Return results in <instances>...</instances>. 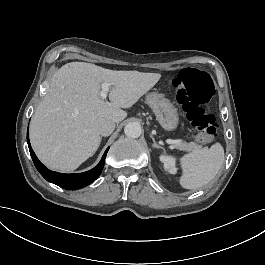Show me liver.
I'll use <instances>...</instances> for the list:
<instances>
[{"instance_id":"6515ba94","label":"liver","mask_w":265,"mask_h":265,"mask_svg":"<svg viewBox=\"0 0 265 265\" xmlns=\"http://www.w3.org/2000/svg\"><path fill=\"white\" fill-rule=\"evenodd\" d=\"M159 73L113 71L87 62H69L51 78L30 127L32 147L50 169L69 172L93 156L101 143L99 119L119 123L160 80ZM109 83V100L101 86Z\"/></svg>"}]
</instances>
